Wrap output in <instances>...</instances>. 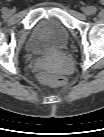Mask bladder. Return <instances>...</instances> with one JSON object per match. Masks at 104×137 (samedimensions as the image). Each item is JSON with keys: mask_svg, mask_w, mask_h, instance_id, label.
<instances>
[{"mask_svg": "<svg viewBox=\"0 0 104 137\" xmlns=\"http://www.w3.org/2000/svg\"><path fill=\"white\" fill-rule=\"evenodd\" d=\"M69 39V31L61 23L48 19L42 21L35 32V36L29 45L28 52L33 55L61 48Z\"/></svg>", "mask_w": 104, "mask_h": 137, "instance_id": "obj_1", "label": "bladder"}]
</instances>
